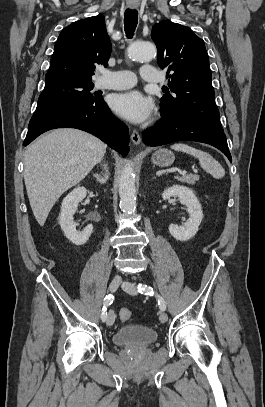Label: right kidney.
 <instances>
[{"instance_id": "1", "label": "right kidney", "mask_w": 265, "mask_h": 407, "mask_svg": "<svg viewBox=\"0 0 265 407\" xmlns=\"http://www.w3.org/2000/svg\"><path fill=\"white\" fill-rule=\"evenodd\" d=\"M86 192L84 187H77L72 190L63 199L59 216V224L66 238L77 246L85 244L93 231L91 224L87 225L81 232L77 231L73 218L78 204L86 197Z\"/></svg>"}]
</instances>
